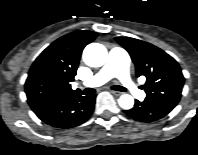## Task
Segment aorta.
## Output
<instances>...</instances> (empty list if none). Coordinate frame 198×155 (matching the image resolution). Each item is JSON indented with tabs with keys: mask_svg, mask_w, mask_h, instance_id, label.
<instances>
[{
	"mask_svg": "<svg viewBox=\"0 0 198 155\" xmlns=\"http://www.w3.org/2000/svg\"><path fill=\"white\" fill-rule=\"evenodd\" d=\"M107 49L99 43L87 45L83 51V60L90 67H101L107 61ZM119 106L129 110L134 105V98L129 94H123L118 99Z\"/></svg>",
	"mask_w": 198,
	"mask_h": 155,
	"instance_id": "obj_1",
	"label": "aorta"
}]
</instances>
